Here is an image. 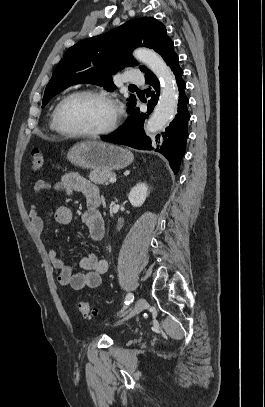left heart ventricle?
<instances>
[{"label": "left heart ventricle", "instance_id": "obj_1", "mask_svg": "<svg viewBox=\"0 0 265 407\" xmlns=\"http://www.w3.org/2000/svg\"><path fill=\"white\" fill-rule=\"evenodd\" d=\"M112 118V107L93 97H74L66 102L62 110L64 126L79 132L101 130L109 125Z\"/></svg>", "mask_w": 265, "mask_h": 407}]
</instances>
